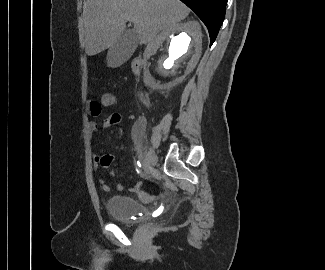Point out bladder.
Returning <instances> with one entry per match:
<instances>
[{
  "label": "bladder",
  "instance_id": "bladder-1",
  "mask_svg": "<svg viewBox=\"0 0 325 270\" xmlns=\"http://www.w3.org/2000/svg\"><path fill=\"white\" fill-rule=\"evenodd\" d=\"M106 209L111 217L127 224L136 223L148 216L146 206L138 200L125 195L109 197L106 202Z\"/></svg>",
  "mask_w": 325,
  "mask_h": 270
}]
</instances>
